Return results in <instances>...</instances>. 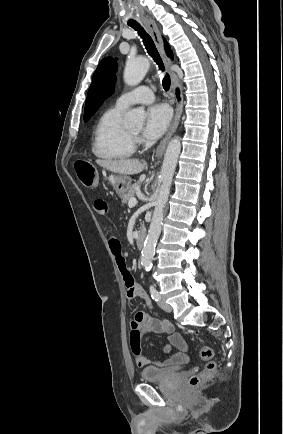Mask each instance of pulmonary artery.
<instances>
[{"label":"pulmonary artery","instance_id":"obj_1","mask_svg":"<svg viewBox=\"0 0 283 434\" xmlns=\"http://www.w3.org/2000/svg\"><path fill=\"white\" fill-rule=\"evenodd\" d=\"M154 100L152 90L147 86H139L131 91H128L116 100V106L126 109L134 104H147Z\"/></svg>","mask_w":283,"mask_h":434}]
</instances>
